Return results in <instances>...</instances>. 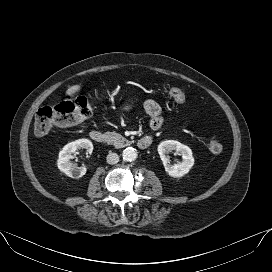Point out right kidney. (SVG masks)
<instances>
[{
	"instance_id": "ca27d5eb",
	"label": "right kidney",
	"mask_w": 272,
	"mask_h": 272,
	"mask_svg": "<svg viewBox=\"0 0 272 272\" xmlns=\"http://www.w3.org/2000/svg\"><path fill=\"white\" fill-rule=\"evenodd\" d=\"M78 149H86L88 153H92L93 144L88 139L72 141L65 145L59 152V158L57 160L58 169L65 175L75 179L81 178L86 174V167H78L70 161V159L73 158L72 153Z\"/></svg>"
}]
</instances>
